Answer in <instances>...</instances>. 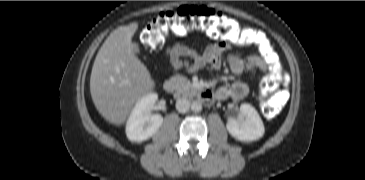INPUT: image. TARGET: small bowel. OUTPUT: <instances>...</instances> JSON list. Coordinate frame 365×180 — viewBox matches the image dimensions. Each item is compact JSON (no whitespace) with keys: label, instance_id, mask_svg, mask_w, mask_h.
I'll return each instance as SVG.
<instances>
[{"label":"small bowel","instance_id":"1","mask_svg":"<svg viewBox=\"0 0 365 180\" xmlns=\"http://www.w3.org/2000/svg\"><path fill=\"white\" fill-rule=\"evenodd\" d=\"M252 37L261 42L259 34L254 30H249ZM230 45L221 42L208 45L203 51L181 44H169L165 49V55L172 68L176 71L185 69L189 72L197 71L208 66L211 69L220 67V56L228 52ZM227 64L234 75L240 76L246 71H259L265 74L267 62L264 53L257 49L248 53L245 57H240L234 53H227ZM254 78L251 77V80ZM249 93L248 83L237 81L227 86H221L215 92V98L220 100L234 99L241 100ZM213 96V97H214Z\"/></svg>","mask_w":365,"mask_h":180}]
</instances>
